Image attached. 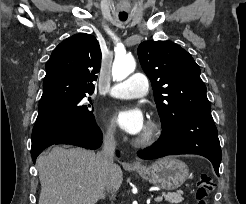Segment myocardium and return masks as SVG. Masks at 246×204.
Here are the masks:
<instances>
[{
    "label": "myocardium",
    "mask_w": 246,
    "mask_h": 204,
    "mask_svg": "<svg viewBox=\"0 0 246 204\" xmlns=\"http://www.w3.org/2000/svg\"><path fill=\"white\" fill-rule=\"evenodd\" d=\"M160 127L154 121H149L145 131L135 140V143L139 146L151 145L159 136Z\"/></svg>",
    "instance_id": "f54148a6"
}]
</instances>
